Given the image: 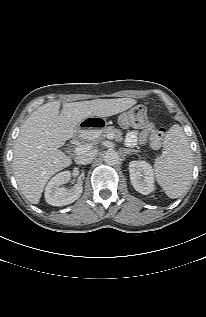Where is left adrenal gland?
Masks as SVG:
<instances>
[{"instance_id":"left-adrenal-gland-1","label":"left adrenal gland","mask_w":206,"mask_h":317,"mask_svg":"<svg viewBox=\"0 0 206 317\" xmlns=\"http://www.w3.org/2000/svg\"><path fill=\"white\" fill-rule=\"evenodd\" d=\"M132 152H137L136 150H131V149H126V148H123V153H124V155H126V154H131Z\"/></svg>"}]
</instances>
